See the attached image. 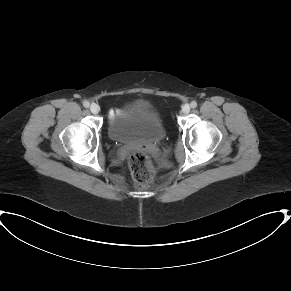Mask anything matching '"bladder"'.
Returning <instances> with one entry per match:
<instances>
[{
	"label": "bladder",
	"instance_id": "1",
	"mask_svg": "<svg viewBox=\"0 0 291 291\" xmlns=\"http://www.w3.org/2000/svg\"><path fill=\"white\" fill-rule=\"evenodd\" d=\"M111 137L133 141L142 137L160 140L166 134L160 111L152 104L134 101L123 106L107 126Z\"/></svg>",
	"mask_w": 291,
	"mask_h": 291
}]
</instances>
